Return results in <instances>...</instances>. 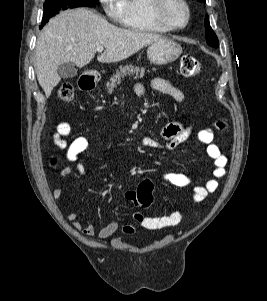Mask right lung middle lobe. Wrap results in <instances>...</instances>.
Instances as JSON below:
<instances>
[{
	"mask_svg": "<svg viewBox=\"0 0 267 301\" xmlns=\"http://www.w3.org/2000/svg\"><path fill=\"white\" fill-rule=\"evenodd\" d=\"M97 4H99L98 0H45L40 29L60 11L78 7H94Z\"/></svg>",
	"mask_w": 267,
	"mask_h": 301,
	"instance_id": "dd1d6c3e",
	"label": "right lung middle lobe"
}]
</instances>
